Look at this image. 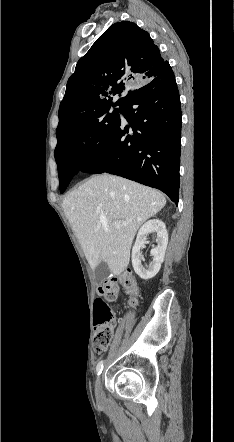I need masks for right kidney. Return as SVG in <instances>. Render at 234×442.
<instances>
[{"instance_id":"ca27d5eb","label":"right kidney","mask_w":234,"mask_h":442,"mask_svg":"<svg viewBox=\"0 0 234 442\" xmlns=\"http://www.w3.org/2000/svg\"><path fill=\"white\" fill-rule=\"evenodd\" d=\"M149 233L157 234V246L150 252V255L152 256L151 263L144 267L141 263V249L145 247L146 237ZM167 244L168 233L163 221L152 219L143 224L139 229L136 242L132 248V265L134 271L141 279L149 280L159 272L161 264L164 261Z\"/></svg>"}]
</instances>
